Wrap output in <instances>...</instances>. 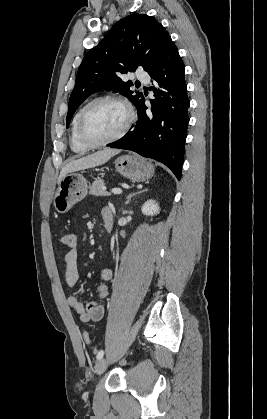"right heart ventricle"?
Listing matches in <instances>:
<instances>
[{
  "label": "right heart ventricle",
  "instance_id": "e07e8e85",
  "mask_svg": "<svg viewBox=\"0 0 267 419\" xmlns=\"http://www.w3.org/2000/svg\"><path fill=\"white\" fill-rule=\"evenodd\" d=\"M81 110H79L73 117L72 120V125H71V136H70V145H71V149L75 152V153H79V154H83L86 153L90 150L89 147L83 145L76 134V126H77V120H78V116Z\"/></svg>",
  "mask_w": 267,
  "mask_h": 419
}]
</instances>
